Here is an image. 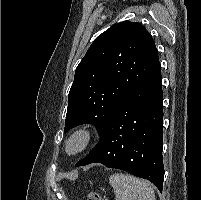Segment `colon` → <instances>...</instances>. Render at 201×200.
<instances>
[{"label":"colon","mask_w":201,"mask_h":200,"mask_svg":"<svg viewBox=\"0 0 201 200\" xmlns=\"http://www.w3.org/2000/svg\"><path fill=\"white\" fill-rule=\"evenodd\" d=\"M87 200H104V199L98 192L92 191L88 193Z\"/></svg>","instance_id":"obj_1"}]
</instances>
